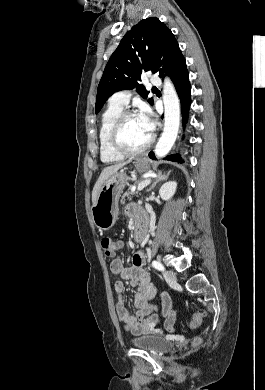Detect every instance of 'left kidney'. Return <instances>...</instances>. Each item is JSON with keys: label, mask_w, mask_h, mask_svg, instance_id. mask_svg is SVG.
Masks as SVG:
<instances>
[{"label": "left kidney", "mask_w": 265, "mask_h": 390, "mask_svg": "<svg viewBox=\"0 0 265 390\" xmlns=\"http://www.w3.org/2000/svg\"><path fill=\"white\" fill-rule=\"evenodd\" d=\"M176 188L177 183L175 181L166 182L161 186L159 195L163 200L167 201L173 197L176 192Z\"/></svg>", "instance_id": "left-kidney-1"}]
</instances>
